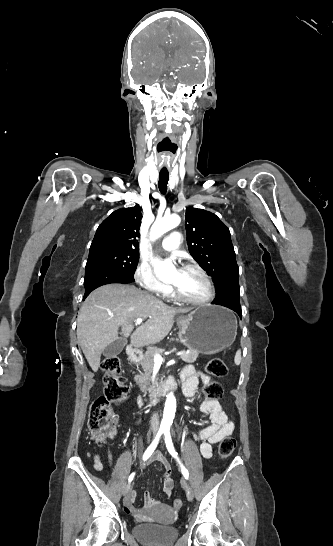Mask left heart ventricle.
<instances>
[{"instance_id":"left-heart-ventricle-1","label":"left heart ventricle","mask_w":333,"mask_h":546,"mask_svg":"<svg viewBox=\"0 0 333 546\" xmlns=\"http://www.w3.org/2000/svg\"><path fill=\"white\" fill-rule=\"evenodd\" d=\"M171 283L179 292L190 299H202L208 295V287L199 273L193 270H183L175 273Z\"/></svg>"}]
</instances>
